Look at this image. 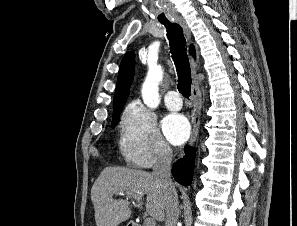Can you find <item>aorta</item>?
I'll use <instances>...</instances> for the list:
<instances>
[{
  "label": "aorta",
  "mask_w": 297,
  "mask_h": 226,
  "mask_svg": "<svg viewBox=\"0 0 297 226\" xmlns=\"http://www.w3.org/2000/svg\"><path fill=\"white\" fill-rule=\"evenodd\" d=\"M163 78V70L160 66L150 67L142 85V99L145 105L151 109L158 107L159 98V83Z\"/></svg>",
  "instance_id": "aorta-1"
}]
</instances>
